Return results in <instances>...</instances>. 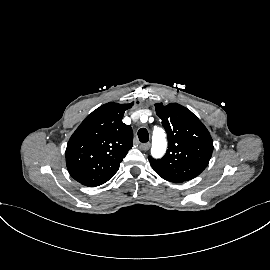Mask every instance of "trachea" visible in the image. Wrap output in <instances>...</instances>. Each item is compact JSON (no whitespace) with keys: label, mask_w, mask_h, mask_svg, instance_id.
<instances>
[{"label":"trachea","mask_w":270,"mask_h":270,"mask_svg":"<svg viewBox=\"0 0 270 270\" xmlns=\"http://www.w3.org/2000/svg\"><path fill=\"white\" fill-rule=\"evenodd\" d=\"M138 137H139L140 142H142V143L148 142V140H149L148 131L145 128H141L138 131Z\"/></svg>","instance_id":"trachea-1"}]
</instances>
